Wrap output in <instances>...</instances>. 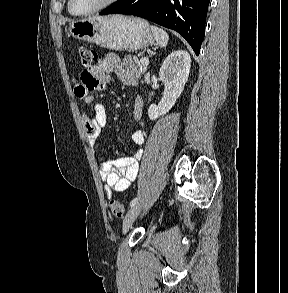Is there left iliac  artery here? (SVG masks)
Masks as SVG:
<instances>
[{
    "label": "left iliac artery",
    "instance_id": "left-iliac-artery-1",
    "mask_svg": "<svg viewBox=\"0 0 288 293\" xmlns=\"http://www.w3.org/2000/svg\"><path fill=\"white\" fill-rule=\"evenodd\" d=\"M138 198H134L131 202H130V206H134L137 202H138Z\"/></svg>",
    "mask_w": 288,
    "mask_h": 293
}]
</instances>
